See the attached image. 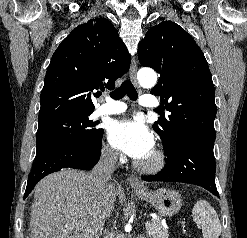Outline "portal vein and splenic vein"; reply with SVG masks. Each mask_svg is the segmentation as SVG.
<instances>
[{"instance_id":"portal-vein-and-splenic-vein-1","label":"portal vein and splenic vein","mask_w":247,"mask_h":238,"mask_svg":"<svg viewBox=\"0 0 247 238\" xmlns=\"http://www.w3.org/2000/svg\"><path fill=\"white\" fill-rule=\"evenodd\" d=\"M145 225H146V226L149 225V221H147V222L145 223Z\"/></svg>"}]
</instances>
